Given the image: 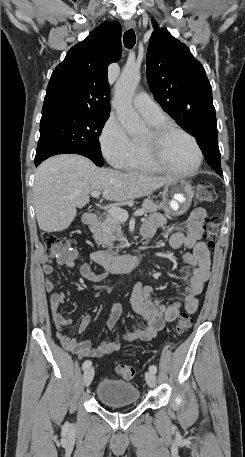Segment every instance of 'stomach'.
Returning a JSON list of instances; mask_svg holds the SVG:
<instances>
[{
    "label": "stomach",
    "mask_w": 245,
    "mask_h": 457,
    "mask_svg": "<svg viewBox=\"0 0 245 457\" xmlns=\"http://www.w3.org/2000/svg\"><path fill=\"white\" fill-rule=\"evenodd\" d=\"M162 196L165 212L171 216H180L186 212L192 202L193 186L188 180L174 178L171 182L164 184Z\"/></svg>",
    "instance_id": "0dacf381"
}]
</instances>
